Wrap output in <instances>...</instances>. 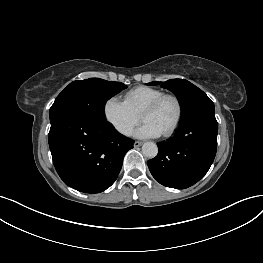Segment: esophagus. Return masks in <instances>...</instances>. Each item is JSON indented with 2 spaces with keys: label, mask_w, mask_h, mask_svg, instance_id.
<instances>
[{
  "label": "esophagus",
  "mask_w": 263,
  "mask_h": 263,
  "mask_svg": "<svg viewBox=\"0 0 263 263\" xmlns=\"http://www.w3.org/2000/svg\"><path fill=\"white\" fill-rule=\"evenodd\" d=\"M142 145V142L141 141H135L134 142V147H139Z\"/></svg>",
  "instance_id": "obj_1"
}]
</instances>
